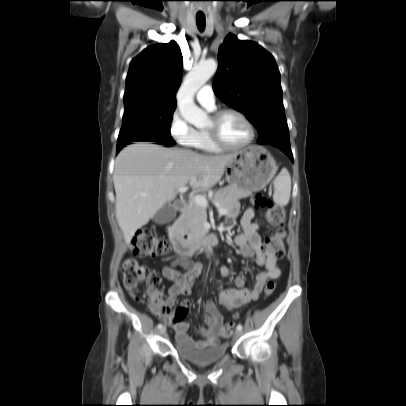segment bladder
<instances>
[{"label":"bladder","mask_w":406,"mask_h":406,"mask_svg":"<svg viewBox=\"0 0 406 406\" xmlns=\"http://www.w3.org/2000/svg\"><path fill=\"white\" fill-rule=\"evenodd\" d=\"M176 350L181 357L195 364L206 365L217 362L225 357L228 351V346L224 344L188 346L177 341Z\"/></svg>","instance_id":"1"}]
</instances>
